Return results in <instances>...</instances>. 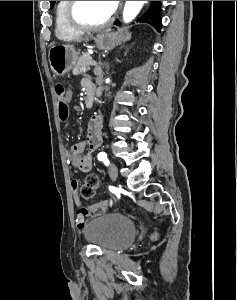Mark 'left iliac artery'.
<instances>
[{
	"instance_id": "obj_1",
	"label": "left iliac artery",
	"mask_w": 237,
	"mask_h": 300,
	"mask_svg": "<svg viewBox=\"0 0 237 300\" xmlns=\"http://www.w3.org/2000/svg\"><path fill=\"white\" fill-rule=\"evenodd\" d=\"M98 160L103 161L106 166L110 163L105 152H100L98 154Z\"/></svg>"
}]
</instances>
